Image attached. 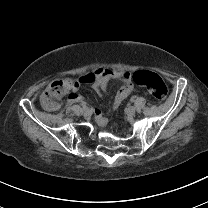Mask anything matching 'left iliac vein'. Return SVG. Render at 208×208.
I'll return each mask as SVG.
<instances>
[{
  "mask_svg": "<svg viewBox=\"0 0 208 208\" xmlns=\"http://www.w3.org/2000/svg\"><path fill=\"white\" fill-rule=\"evenodd\" d=\"M135 112H136V109H135V107H133V106H128V107L126 108V113H127L129 116H133V115L135 114Z\"/></svg>",
  "mask_w": 208,
  "mask_h": 208,
  "instance_id": "4c4485c4",
  "label": "left iliac vein"
}]
</instances>
